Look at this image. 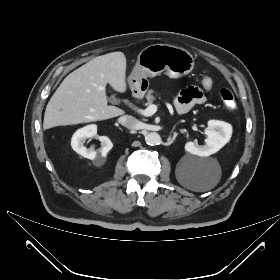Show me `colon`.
Here are the masks:
<instances>
[{
	"label": "colon",
	"instance_id": "colon-1",
	"mask_svg": "<svg viewBox=\"0 0 280 280\" xmlns=\"http://www.w3.org/2000/svg\"><path fill=\"white\" fill-rule=\"evenodd\" d=\"M201 86L205 91L210 92L214 89L215 84L212 78L205 77L201 81ZM219 95L226 108L230 110L235 109L236 107L235 97L229 89L227 88L220 89Z\"/></svg>",
	"mask_w": 280,
	"mask_h": 280
}]
</instances>
